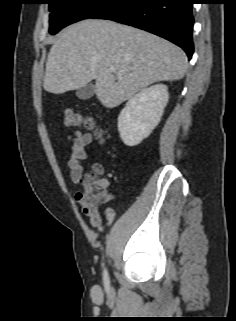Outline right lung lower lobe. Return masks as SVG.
<instances>
[{"label":"right lung lower lobe","instance_id":"obj_1","mask_svg":"<svg viewBox=\"0 0 236 321\" xmlns=\"http://www.w3.org/2000/svg\"><path fill=\"white\" fill-rule=\"evenodd\" d=\"M193 0H110L89 18L108 19L146 30L193 54Z\"/></svg>","mask_w":236,"mask_h":321}]
</instances>
